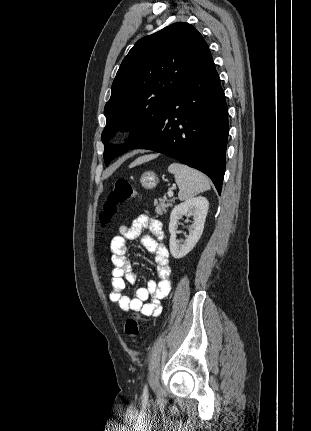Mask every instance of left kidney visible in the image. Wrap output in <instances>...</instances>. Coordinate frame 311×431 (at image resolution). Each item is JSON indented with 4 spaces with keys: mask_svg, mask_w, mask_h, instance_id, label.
Masks as SVG:
<instances>
[{
    "mask_svg": "<svg viewBox=\"0 0 311 431\" xmlns=\"http://www.w3.org/2000/svg\"><path fill=\"white\" fill-rule=\"evenodd\" d=\"M208 208L209 202L206 198H202V196L191 198V200H186V202H182L179 206H174L170 214L168 227L171 233L169 247L173 257H176V259L184 257L196 245L204 229V221ZM182 216H193L194 223H192V229H190L189 235H186V239H177V223L178 219H181ZM186 221H189V219H186Z\"/></svg>",
    "mask_w": 311,
    "mask_h": 431,
    "instance_id": "5707ae66",
    "label": "left kidney"
}]
</instances>
